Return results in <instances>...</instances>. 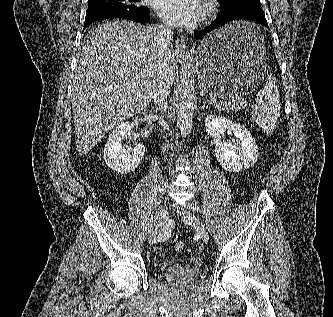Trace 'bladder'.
<instances>
[{
  "label": "bladder",
  "mask_w": 333,
  "mask_h": 317,
  "mask_svg": "<svg viewBox=\"0 0 333 317\" xmlns=\"http://www.w3.org/2000/svg\"><path fill=\"white\" fill-rule=\"evenodd\" d=\"M182 265H183V262H181L180 260H177V259L166 260L163 263L164 268L176 267V266H182Z\"/></svg>",
  "instance_id": "bladder-1"
}]
</instances>
